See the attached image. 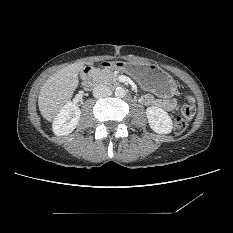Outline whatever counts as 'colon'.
Wrapping results in <instances>:
<instances>
[{
	"mask_svg": "<svg viewBox=\"0 0 233 233\" xmlns=\"http://www.w3.org/2000/svg\"><path fill=\"white\" fill-rule=\"evenodd\" d=\"M195 114V100L192 96H187L185 103L180 108V115L175 120V132L183 133L188 125V122Z\"/></svg>",
	"mask_w": 233,
	"mask_h": 233,
	"instance_id": "colon-1",
	"label": "colon"
}]
</instances>
